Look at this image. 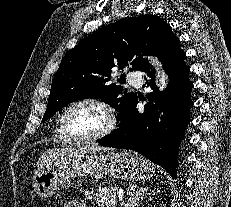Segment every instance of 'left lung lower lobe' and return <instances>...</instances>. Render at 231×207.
I'll return each mask as SVG.
<instances>
[{
	"label": "left lung lower lobe",
	"instance_id": "obj_1",
	"mask_svg": "<svg viewBox=\"0 0 231 207\" xmlns=\"http://www.w3.org/2000/svg\"><path fill=\"white\" fill-rule=\"evenodd\" d=\"M179 42L177 38L158 57L170 79L166 92L158 93L155 71L148 63L142 71L146 73L147 87L153 92L146 95L144 112L140 113L136 109V97L119 121V128L98 140L103 146L136 151L165 168L175 178L178 147L190 121V93L193 87L188 79L190 70L184 63L186 54L181 50Z\"/></svg>",
	"mask_w": 231,
	"mask_h": 207
}]
</instances>
